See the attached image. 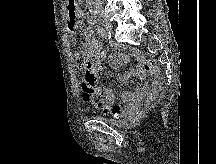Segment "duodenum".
<instances>
[{
    "label": "duodenum",
    "mask_w": 216,
    "mask_h": 164,
    "mask_svg": "<svg viewBox=\"0 0 216 164\" xmlns=\"http://www.w3.org/2000/svg\"><path fill=\"white\" fill-rule=\"evenodd\" d=\"M76 3L77 0H69L68 9H76ZM95 8H96L95 4L93 2H89L88 9L91 14L90 21L94 20Z\"/></svg>",
    "instance_id": "obj_1"
}]
</instances>
